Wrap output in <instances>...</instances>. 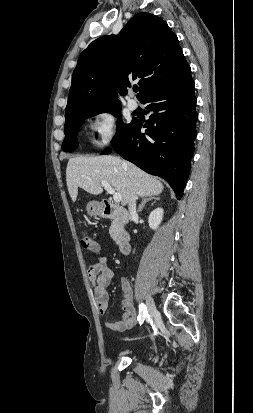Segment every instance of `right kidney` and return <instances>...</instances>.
Listing matches in <instances>:
<instances>
[{"label":"right kidney","instance_id":"right-kidney-1","mask_svg":"<svg viewBox=\"0 0 253 413\" xmlns=\"http://www.w3.org/2000/svg\"><path fill=\"white\" fill-rule=\"evenodd\" d=\"M163 219V209L156 208L153 210L148 218L149 226L152 230H156Z\"/></svg>","mask_w":253,"mask_h":413}]
</instances>
